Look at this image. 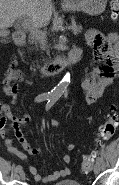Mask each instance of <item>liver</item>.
<instances>
[{
    "instance_id": "obj_1",
    "label": "liver",
    "mask_w": 119,
    "mask_h": 185,
    "mask_svg": "<svg viewBox=\"0 0 119 185\" xmlns=\"http://www.w3.org/2000/svg\"><path fill=\"white\" fill-rule=\"evenodd\" d=\"M21 16H28L36 28L48 25L52 17L51 0H0V29L11 27Z\"/></svg>"
}]
</instances>
